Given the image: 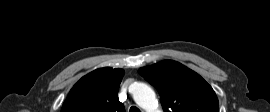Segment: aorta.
<instances>
[{"label":"aorta","instance_id":"1","mask_svg":"<svg viewBox=\"0 0 270 112\" xmlns=\"http://www.w3.org/2000/svg\"><path fill=\"white\" fill-rule=\"evenodd\" d=\"M135 103L146 112H161L157 109L155 92L144 83H136L132 93Z\"/></svg>","mask_w":270,"mask_h":112}]
</instances>
